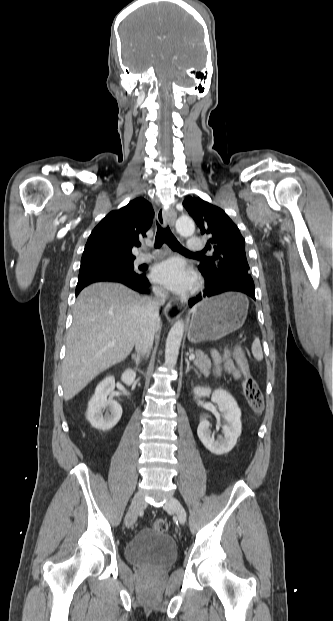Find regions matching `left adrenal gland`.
I'll list each match as a JSON object with an SVG mask.
<instances>
[{
	"label": "left adrenal gland",
	"mask_w": 333,
	"mask_h": 621,
	"mask_svg": "<svg viewBox=\"0 0 333 621\" xmlns=\"http://www.w3.org/2000/svg\"><path fill=\"white\" fill-rule=\"evenodd\" d=\"M185 361H186V364H187V368H186L185 374H188V372L190 370H193L197 375H200L199 371L195 367L190 366V362H189V360L187 358L185 359Z\"/></svg>",
	"instance_id": "1"
}]
</instances>
